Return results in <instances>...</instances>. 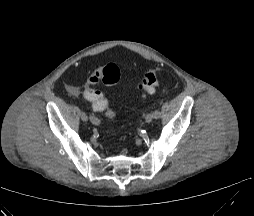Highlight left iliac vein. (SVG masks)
<instances>
[{"mask_svg": "<svg viewBox=\"0 0 254 216\" xmlns=\"http://www.w3.org/2000/svg\"><path fill=\"white\" fill-rule=\"evenodd\" d=\"M153 120V114L152 113H148L145 117V122L146 123H150Z\"/></svg>", "mask_w": 254, "mask_h": 216, "instance_id": "obj_1", "label": "left iliac vein"}]
</instances>
